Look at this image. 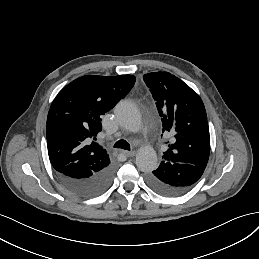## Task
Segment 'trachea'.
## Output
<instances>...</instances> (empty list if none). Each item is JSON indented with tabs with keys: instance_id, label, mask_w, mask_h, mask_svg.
I'll return each instance as SVG.
<instances>
[{
	"instance_id": "1",
	"label": "trachea",
	"mask_w": 259,
	"mask_h": 259,
	"mask_svg": "<svg viewBox=\"0 0 259 259\" xmlns=\"http://www.w3.org/2000/svg\"><path fill=\"white\" fill-rule=\"evenodd\" d=\"M114 148H121L124 150H130V145L127 141L121 139L114 144Z\"/></svg>"
}]
</instances>
